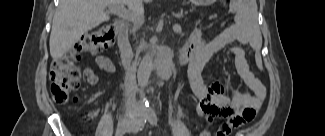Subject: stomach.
<instances>
[{
	"label": "stomach",
	"mask_w": 325,
	"mask_h": 136,
	"mask_svg": "<svg viewBox=\"0 0 325 136\" xmlns=\"http://www.w3.org/2000/svg\"><path fill=\"white\" fill-rule=\"evenodd\" d=\"M194 3H197V4H204L206 2H210L209 0H193Z\"/></svg>",
	"instance_id": "0dacf381"
}]
</instances>
